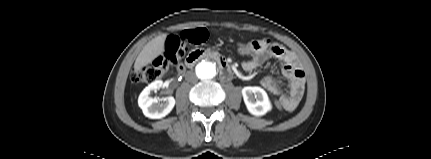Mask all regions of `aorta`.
I'll use <instances>...</instances> for the list:
<instances>
[{"label": "aorta", "instance_id": "aorta-1", "mask_svg": "<svg viewBox=\"0 0 431 159\" xmlns=\"http://www.w3.org/2000/svg\"><path fill=\"white\" fill-rule=\"evenodd\" d=\"M195 72L198 78L203 81H208L216 76V65L211 61L204 60L195 67Z\"/></svg>", "mask_w": 431, "mask_h": 159}]
</instances>
